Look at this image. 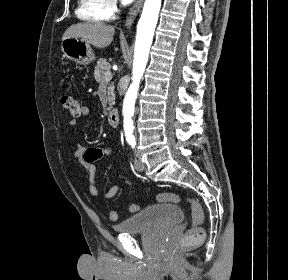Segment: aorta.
Segmentation results:
<instances>
[{"label": "aorta", "instance_id": "1", "mask_svg": "<svg viewBox=\"0 0 288 280\" xmlns=\"http://www.w3.org/2000/svg\"><path fill=\"white\" fill-rule=\"evenodd\" d=\"M161 8V0H145L143 11L137 25V35L134 50L132 83L124 99L122 116L125 120H136L137 111L135 100L139 85L145 71L154 31ZM125 140H137L135 121H122Z\"/></svg>", "mask_w": 288, "mask_h": 280}]
</instances>
